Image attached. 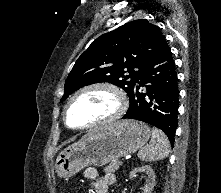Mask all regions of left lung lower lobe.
Segmentation results:
<instances>
[{"label":"left lung lower lobe","instance_id":"0a47b994","mask_svg":"<svg viewBox=\"0 0 221 193\" xmlns=\"http://www.w3.org/2000/svg\"><path fill=\"white\" fill-rule=\"evenodd\" d=\"M145 87V90H141ZM130 106L125 119H136L161 129L174 145L179 107L178 78L168 44L137 77L129 96Z\"/></svg>","mask_w":221,"mask_h":193}]
</instances>
